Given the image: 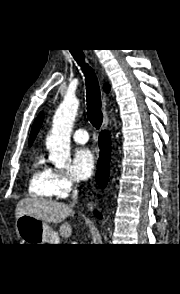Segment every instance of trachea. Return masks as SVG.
<instances>
[{"instance_id": "trachea-1", "label": "trachea", "mask_w": 180, "mask_h": 294, "mask_svg": "<svg viewBox=\"0 0 180 294\" xmlns=\"http://www.w3.org/2000/svg\"><path fill=\"white\" fill-rule=\"evenodd\" d=\"M70 52L81 66L85 75L88 119L96 129H99L103 121V114L97 77L93 69L85 63V56L82 50H70Z\"/></svg>"}]
</instances>
